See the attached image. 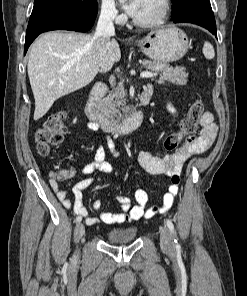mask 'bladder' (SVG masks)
Instances as JSON below:
<instances>
[{
  "label": "bladder",
  "instance_id": "31cf9c89",
  "mask_svg": "<svg viewBox=\"0 0 247 296\" xmlns=\"http://www.w3.org/2000/svg\"><path fill=\"white\" fill-rule=\"evenodd\" d=\"M136 234L137 227L134 226L114 228L108 232L107 240L114 244L129 243L135 239Z\"/></svg>",
  "mask_w": 247,
  "mask_h": 296
}]
</instances>
